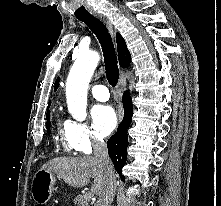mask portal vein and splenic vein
<instances>
[{
	"instance_id": "portal-vein-and-splenic-vein-1",
	"label": "portal vein and splenic vein",
	"mask_w": 221,
	"mask_h": 206,
	"mask_svg": "<svg viewBox=\"0 0 221 206\" xmlns=\"http://www.w3.org/2000/svg\"><path fill=\"white\" fill-rule=\"evenodd\" d=\"M85 197H86L87 199H91V198L93 197V194H92V193H86V194H85Z\"/></svg>"
}]
</instances>
